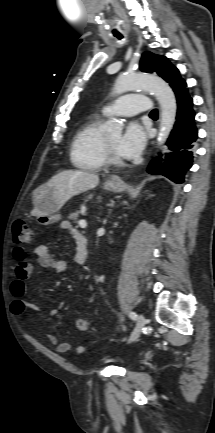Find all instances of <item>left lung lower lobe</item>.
Returning <instances> with one entry per match:
<instances>
[{"instance_id":"0a47b994","label":"left lung lower lobe","mask_w":215,"mask_h":433,"mask_svg":"<svg viewBox=\"0 0 215 433\" xmlns=\"http://www.w3.org/2000/svg\"><path fill=\"white\" fill-rule=\"evenodd\" d=\"M177 99V116L174 128L167 141L168 149L164 158L160 155L149 165L148 172L163 175L177 184L184 181V175L193 163V147L197 140L195 112L193 101L189 95L187 84L181 77L170 82Z\"/></svg>"}]
</instances>
